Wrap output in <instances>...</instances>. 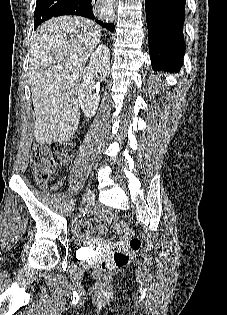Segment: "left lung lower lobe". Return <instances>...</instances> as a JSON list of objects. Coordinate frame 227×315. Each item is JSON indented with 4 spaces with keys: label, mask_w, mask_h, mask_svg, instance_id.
<instances>
[{
    "label": "left lung lower lobe",
    "mask_w": 227,
    "mask_h": 315,
    "mask_svg": "<svg viewBox=\"0 0 227 315\" xmlns=\"http://www.w3.org/2000/svg\"><path fill=\"white\" fill-rule=\"evenodd\" d=\"M186 0H145L153 69L178 71L183 62Z\"/></svg>",
    "instance_id": "0a47b994"
}]
</instances>
